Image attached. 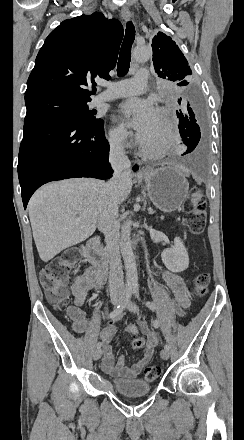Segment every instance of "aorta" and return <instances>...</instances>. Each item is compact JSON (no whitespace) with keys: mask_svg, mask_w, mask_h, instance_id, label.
<instances>
[{"mask_svg":"<svg viewBox=\"0 0 244 440\" xmlns=\"http://www.w3.org/2000/svg\"><path fill=\"white\" fill-rule=\"evenodd\" d=\"M151 54V50L145 47H137L133 52L134 58L139 62L147 61ZM120 249L126 270V283L128 286H136L138 284V273L135 257L131 247V221H126L122 225Z\"/></svg>","mask_w":244,"mask_h":440,"instance_id":"762f6f07","label":"aorta"}]
</instances>
